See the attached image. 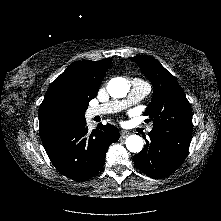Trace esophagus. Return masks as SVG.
I'll return each instance as SVG.
<instances>
[{
    "label": "esophagus",
    "instance_id": "1",
    "mask_svg": "<svg viewBox=\"0 0 221 221\" xmlns=\"http://www.w3.org/2000/svg\"><path fill=\"white\" fill-rule=\"evenodd\" d=\"M120 135H121V138H126L129 135V132L121 131Z\"/></svg>",
    "mask_w": 221,
    "mask_h": 221
}]
</instances>
